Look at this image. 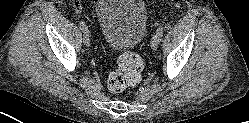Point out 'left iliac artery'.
<instances>
[{"instance_id":"obj_1","label":"left iliac artery","mask_w":249,"mask_h":123,"mask_svg":"<svg viewBox=\"0 0 249 123\" xmlns=\"http://www.w3.org/2000/svg\"><path fill=\"white\" fill-rule=\"evenodd\" d=\"M163 31H164V29H163V27L162 26H159L158 28H157V30H156V32L162 37V35H163Z\"/></svg>"}]
</instances>
